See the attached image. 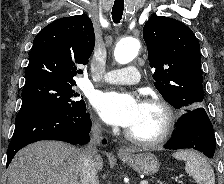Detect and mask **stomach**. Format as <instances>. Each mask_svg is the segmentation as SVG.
<instances>
[{
	"label": "stomach",
	"mask_w": 224,
	"mask_h": 184,
	"mask_svg": "<svg viewBox=\"0 0 224 184\" xmlns=\"http://www.w3.org/2000/svg\"><path fill=\"white\" fill-rule=\"evenodd\" d=\"M132 169L144 175H153L159 170V161L151 153L131 154L128 157H120Z\"/></svg>",
	"instance_id": "0dacf381"
}]
</instances>
